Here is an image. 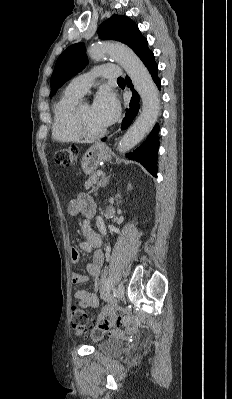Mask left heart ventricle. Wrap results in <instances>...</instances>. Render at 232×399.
<instances>
[{"label":"left heart ventricle","mask_w":232,"mask_h":399,"mask_svg":"<svg viewBox=\"0 0 232 399\" xmlns=\"http://www.w3.org/2000/svg\"><path fill=\"white\" fill-rule=\"evenodd\" d=\"M79 114L85 128L91 133H101L108 129L103 123L97 119L88 105H82L79 107Z\"/></svg>","instance_id":"left-heart-ventricle-1"}]
</instances>
